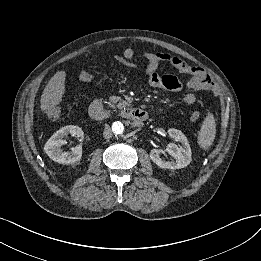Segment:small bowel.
<instances>
[{"mask_svg": "<svg viewBox=\"0 0 261 261\" xmlns=\"http://www.w3.org/2000/svg\"><path fill=\"white\" fill-rule=\"evenodd\" d=\"M136 56V51L131 48L127 47L124 49L121 55L116 56V60L127 66L133 65L132 59ZM140 56L146 60L147 64L145 67V72L148 76L149 84L154 88H160L168 91H179L183 85L180 80L174 75H160L157 72V68L160 62H168L177 69H179L181 63L183 61L173 55L168 53H155L151 51H143L141 52ZM93 79V76L90 72H82L80 75V80L84 83H90ZM185 87L191 91H197L191 89L189 82L186 83ZM196 95L193 92L187 93L184 98L183 102L187 106H192L196 103Z\"/></svg>", "mask_w": 261, "mask_h": 261, "instance_id": "obj_1", "label": "small bowel"}]
</instances>
